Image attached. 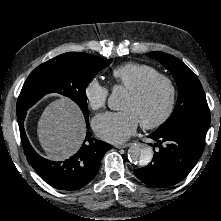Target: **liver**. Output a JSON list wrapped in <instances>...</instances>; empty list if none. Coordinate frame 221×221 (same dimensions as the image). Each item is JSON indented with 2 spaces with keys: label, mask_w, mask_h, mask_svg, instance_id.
<instances>
[{
  "label": "liver",
  "mask_w": 221,
  "mask_h": 221,
  "mask_svg": "<svg viewBox=\"0 0 221 221\" xmlns=\"http://www.w3.org/2000/svg\"><path fill=\"white\" fill-rule=\"evenodd\" d=\"M86 133L85 121L79 107L68 98L51 102L43 111L37 125V135L47 158L65 160L80 148Z\"/></svg>",
  "instance_id": "obj_1"
}]
</instances>
